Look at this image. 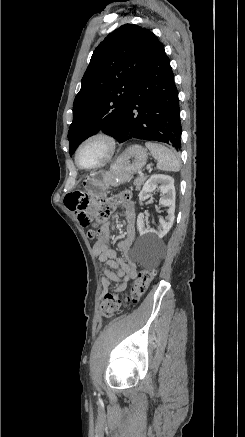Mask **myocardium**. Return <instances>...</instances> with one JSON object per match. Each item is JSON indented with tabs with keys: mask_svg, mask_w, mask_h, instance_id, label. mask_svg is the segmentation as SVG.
<instances>
[{
	"mask_svg": "<svg viewBox=\"0 0 245 437\" xmlns=\"http://www.w3.org/2000/svg\"><path fill=\"white\" fill-rule=\"evenodd\" d=\"M93 140H102L103 142H105L107 146V152L105 156L98 163L91 166H83L79 160L80 151L85 144ZM117 145H118L117 139L111 133L103 130L93 132L88 136H86L84 139H82L81 142L78 144L74 155L75 162L77 166L82 170H93V169L100 168L106 165L114 157L117 150Z\"/></svg>",
	"mask_w": 245,
	"mask_h": 437,
	"instance_id": "1",
	"label": "myocardium"
}]
</instances>
